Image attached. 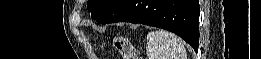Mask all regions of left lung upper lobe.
<instances>
[{
  "instance_id": "1",
  "label": "left lung upper lobe",
  "mask_w": 261,
  "mask_h": 59,
  "mask_svg": "<svg viewBox=\"0 0 261 59\" xmlns=\"http://www.w3.org/2000/svg\"><path fill=\"white\" fill-rule=\"evenodd\" d=\"M119 0H88L87 9L92 13V18L98 21Z\"/></svg>"
}]
</instances>
